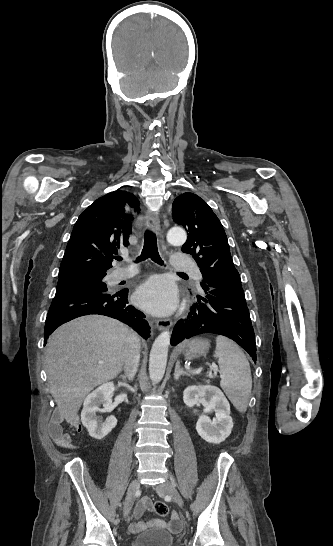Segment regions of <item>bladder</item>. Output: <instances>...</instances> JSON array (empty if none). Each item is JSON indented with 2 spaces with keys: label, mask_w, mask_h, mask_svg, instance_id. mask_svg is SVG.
Instances as JSON below:
<instances>
[{
  "label": "bladder",
  "mask_w": 333,
  "mask_h": 546,
  "mask_svg": "<svg viewBox=\"0 0 333 546\" xmlns=\"http://www.w3.org/2000/svg\"><path fill=\"white\" fill-rule=\"evenodd\" d=\"M174 537L165 530L153 529L139 534L133 546H173Z\"/></svg>",
  "instance_id": "1"
}]
</instances>
